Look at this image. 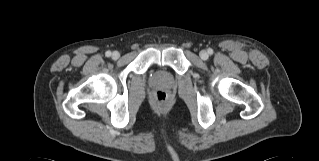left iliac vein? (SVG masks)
Listing matches in <instances>:
<instances>
[{
  "mask_svg": "<svg viewBox=\"0 0 319 161\" xmlns=\"http://www.w3.org/2000/svg\"><path fill=\"white\" fill-rule=\"evenodd\" d=\"M200 57L203 59V60H206L208 58V53L206 51H201L200 52Z\"/></svg>",
  "mask_w": 319,
  "mask_h": 161,
  "instance_id": "left-iliac-vein-1",
  "label": "left iliac vein"
}]
</instances>
